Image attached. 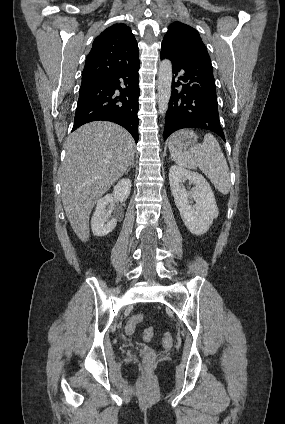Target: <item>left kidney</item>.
Segmentation results:
<instances>
[{
	"label": "left kidney",
	"mask_w": 285,
	"mask_h": 424,
	"mask_svg": "<svg viewBox=\"0 0 285 424\" xmlns=\"http://www.w3.org/2000/svg\"><path fill=\"white\" fill-rule=\"evenodd\" d=\"M185 181L194 184L191 191H187L183 186ZM169 183L185 226L192 234L206 233L219 214L210 184L201 174L177 165L170 167ZM189 197L194 198V205L189 201Z\"/></svg>",
	"instance_id": "obj_1"
}]
</instances>
